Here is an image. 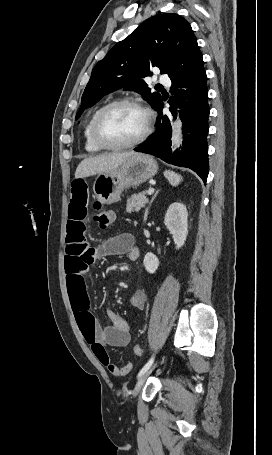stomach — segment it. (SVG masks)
<instances>
[{
    "mask_svg": "<svg viewBox=\"0 0 272 455\" xmlns=\"http://www.w3.org/2000/svg\"><path fill=\"white\" fill-rule=\"evenodd\" d=\"M157 170V162L152 156L142 153L132 155L117 168L96 177L94 196L102 204H113L120 199L124 189L144 183Z\"/></svg>",
    "mask_w": 272,
    "mask_h": 455,
    "instance_id": "obj_1",
    "label": "stomach"
}]
</instances>
